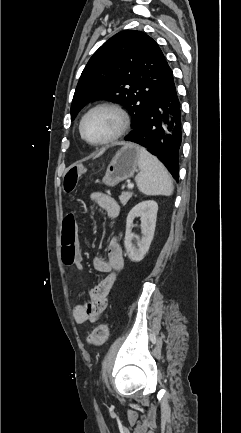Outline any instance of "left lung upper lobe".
<instances>
[{"label":"left lung upper lobe","instance_id":"obj_1","mask_svg":"<svg viewBox=\"0 0 241 433\" xmlns=\"http://www.w3.org/2000/svg\"><path fill=\"white\" fill-rule=\"evenodd\" d=\"M170 67L157 43L141 31L125 30L105 42L90 58L76 87L71 119L87 103L118 101L129 111L135 128Z\"/></svg>","mask_w":241,"mask_h":433}]
</instances>
